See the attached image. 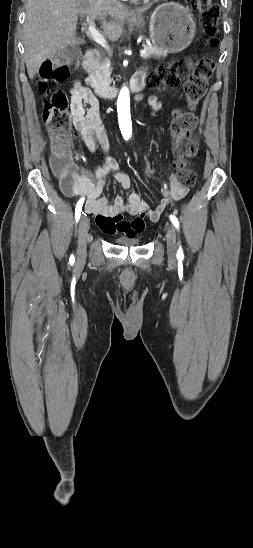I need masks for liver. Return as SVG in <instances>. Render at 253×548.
Listing matches in <instances>:
<instances>
[{
	"label": "liver",
	"instance_id": "6515ba94",
	"mask_svg": "<svg viewBox=\"0 0 253 548\" xmlns=\"http://www.w3.org/2000/svg\"><path fill=\"white\" fill-rule=\"evenodd\" d=\"M147 9L130 11L118 0H28L23 34L29 78L33 79L42 63L57 52L85 43L76 37L78 15L98 17L104 36L116 41L125 20ZM107 16L112 20L106 21Z\"/></svg>",
	"mask_w": 253,
	"mask_h": 548
}]
</instances>
